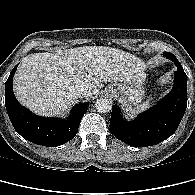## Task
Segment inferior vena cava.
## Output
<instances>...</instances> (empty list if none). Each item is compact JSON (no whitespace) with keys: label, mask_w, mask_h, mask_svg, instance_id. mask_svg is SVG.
<instances>
[{"label":"inferior vena cava","mask_w":195,"mask_h":195,"mask_svg":"<svg viewBox=\"0 0 195 195\" xmlns=\"http://www.w3.org/2000/svg\"><path fill=\"white\" fill-rule=\"evenodd\" d=\"M74 94L78 97V98H83L89 95V90L87 87L85 86H80L74 89Z\"/></svg>","instance_id":"1"}]
</instances>
